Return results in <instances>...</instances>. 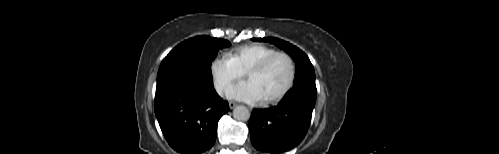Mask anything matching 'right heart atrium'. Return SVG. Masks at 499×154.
Returning <instances> with one entry per match:
<instances>
[{"mask_svg": "<svg viewBox=\"0 0 499 154\" xmlns=\"http://www.w3.org/2000/svg\"><path fill=\"white\" fill-rule=\"evenodd\" d=\"M209 72L213 86L219 94H223L244 76V72L227 55L215 57L209 65Z\"/></svg>", "mask_w": 499, "mask_h": 154, "instance_id": "obj_1", "label": "right heart atrium"}]
</instances>
